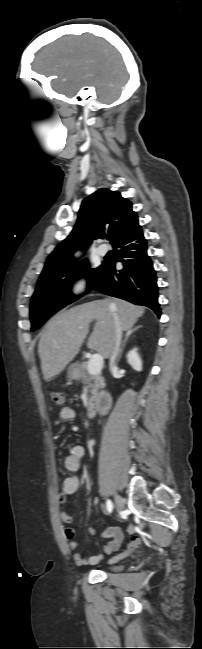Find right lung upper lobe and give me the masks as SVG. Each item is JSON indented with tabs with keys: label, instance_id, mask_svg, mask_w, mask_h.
<instances>
[{
	"label": "right lung upper lobe",
	"instance_id": "cb5924a9",
	"mask_svg": "<svg viewBox=\"0 0 202 649\" xmlns=\"http://www.w3.org/2000/svg\"><path fill=\"white\" fill-rule=\"evenodd\" d=\"M141 229L131 202L119 192L103 188L82 201L77 222L70 235L49 255L39 278L52 276L75 267L73 253L84 249L86 241L111 237L119 239Z\"/></svg>",
	"mask_w": 202,
	"mask_h": 649
}]
</instances>
